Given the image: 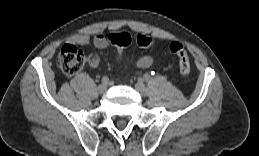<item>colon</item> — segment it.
Listing matches in <instances>:
<instances>
[{"label": "colon", "instance_id": "colon-1", "mask_svg": "<svg viewBox=\"0 0 259 156\" xmlns=\"http://www.w3.org/2000/svg\"><path fill=\"white\" fill-rule=\"evenodd\" d=\"M111 43L117 48L118 55L121 57L123 50L135 43L141 48L152 47V39L144 34H129L126 32L109 35ZM169 49L179 60V71L183 78H187L190 73V61L183 44L172 42ZM58 66L66 76H73L82 70L86 64V58L82 51L72 44L64 45L57 57Z\"/></svg>", "mask_w": 259, "mask_h": 156}]
</instances>
